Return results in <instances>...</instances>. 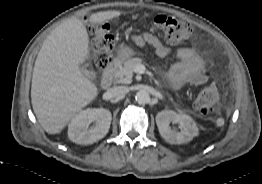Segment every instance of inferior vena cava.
Wrapping results in <instances>:
<instances>
[{"mask_svg": "<svg viewBox=\"0 0 262 184\" xmlns=\"http://www.w3.org/2000/svg\"><path fill=\"white\" fill-rule=\"evenodd\" d=\"M128 91V88L125 86H114L108 90L107 94L110 98H117L125 96Z\"/></svg>", "mask_w": 262, "mask_h": 184, "instance_id": "obj_1", "label": "inferior vena cava"}]
</instances>
